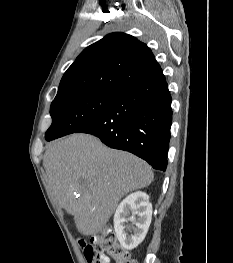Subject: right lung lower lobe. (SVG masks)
Segmentation results:
<instances>
[{
  "label": "right lung lower lobe",
  "instance_id": "obj_1",
  "mask_svg": "<svg viewBox=\"0 0 233 263\" xmlns=\"http://www.w3.org/2000/svg\"><path fill=\"white\" fill-rule=\"evenodd\" d=\"M171 123V95L161 73L118 92L101 115L76 132L95 135L165 171Z\"/></svg>",
  "mask_w": 233,
  "mask_h": 263
}]
</instances>
